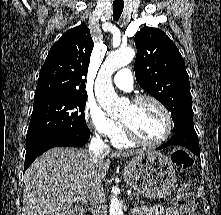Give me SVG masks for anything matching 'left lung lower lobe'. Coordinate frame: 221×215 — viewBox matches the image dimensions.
I'll list each match as a JSON object with an SVG mask.
<instances>
[{"instance_id":"1","label":"left lung lower lobe","mask_w":221,"mask_h":215,"mask_svg":"<svg viewBox=\"0 0 221 215\" xmlns=\"http://www.w3.org/2000/svg\"><path fill=\"white\" fill-rule=\"evenodd\" d=\"M172 145L184 146L195 155L200 156L198 136L195 131L176 132L166 143L158 147L157 150Z\"/></svg>"}]
</instances>
